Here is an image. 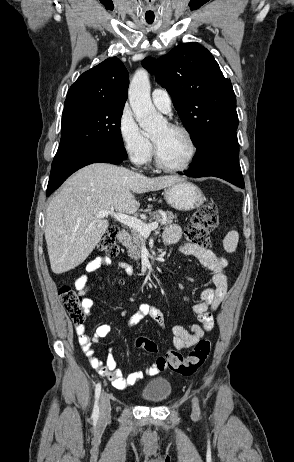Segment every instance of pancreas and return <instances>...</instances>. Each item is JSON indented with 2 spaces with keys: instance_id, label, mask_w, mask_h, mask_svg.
<instances>
[{
  "instance_id": "pancreas-1",
  "label": "pancreas",
  "mask_w": 294,
  "mask_h": 462,
  "mask_svg": "<svg viewBox=\"0 0 294 462\" xmlns=\"http://www.w3.org/2000/svg\"><path fill=\"white\" fill-rule=\"evenodd\" d=\"M150 214V222L155 220L163 226L172 224L176 219V216L171 211L159 210ZM143 244V235L135 229H131V235L128 236L124 242V246L127 248V252L130 258L138 260L141 256V246Z\"/></svg>"
}]
</instances>
